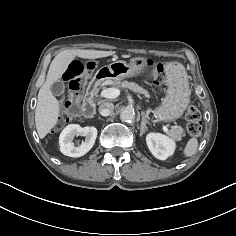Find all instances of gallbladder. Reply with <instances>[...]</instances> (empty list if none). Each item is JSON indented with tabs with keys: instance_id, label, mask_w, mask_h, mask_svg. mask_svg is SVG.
Masks as SVG:
<instances>
[{
	"instance_id": "gallbladder-1",
	"label": "gallbladder",
	"mask_w": 236,
	"mask_h": 236,
	"mask_svg": "<svg viewBox=\"0 0 236 236\" xmlns=\"http://www.w3.org/2000/svg\"><path fill=\"white\" fill-rule=\"evenodd\" d=\"M64 89H65V86L61 80L54 82L50 86V90H51L52 94L55 96H60L61 94H63Z\"/></svg>"
}]
</instances>
